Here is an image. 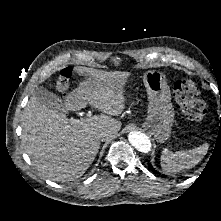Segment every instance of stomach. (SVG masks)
<instances>
[{"label":"stomach","instance_id":"0dacf381","mask_svg":"<svg viewBox=\"0 0 221 221\" xmlns=\"http://www.w3.org/2000/svg\"><path fill=\"white\" fill-rule=\"evenodd\" d=\"M143 82L148 94V114L142 126L154 138L163 143L170 137L174 121L170 89L166 78L160 71H147Z\"/></svg>","mask_w":221,"mask_h":221}]
</instances>
